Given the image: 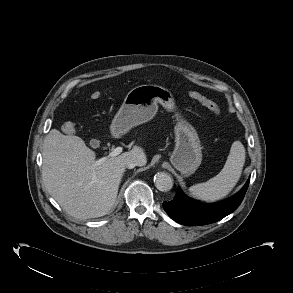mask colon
<instances>
[{
	"label": "colon",
	"mask_w": 293,
	"mask_h": 293,
	"mask_svg": "<svg viewBox=\"0 0 293 293\" xmlns=\"http://www.w3.org/2000/svg\"><path fill=\"white\" fill-rule=\"evenodd\" d=\"M100 96H101V93L99 91H94L91 94V99H98ZM189 96L193 100L199 102L201 105H203L205 108H207L209 111H211L215 115H219L221 113V109L219 105L215 103L214 101H212L211 99L204 96L203 94L197 91H190ZM62 130L65 133H72L74 130V126L71 122H66L62 126Z\"/></svg>",
	"instance_id": "5ec220e1"
}]
</instances>
